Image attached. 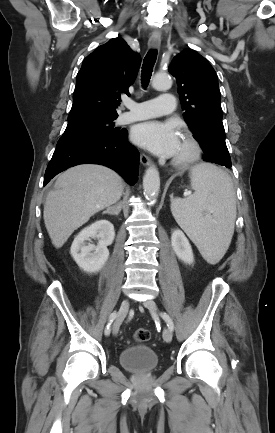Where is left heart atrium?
<instances>
[{
  "instance_id": "obj_1",
  "label": "left heart atrium",
  "mask_w": 275,
  "mask_h": 433,
  "mask_svg": "<svg viewBox=\"0 0 275 433\" xmlns=\"http://www.w3.org/2000/svg\"><path fill=\"white\" fill-rule=\"evenodd\" d=\"M131 136L137 145L162 157L174 156L180 141L179 133L173 123L158 120L137 124Z\"/></svg>"
}]
</instances>
